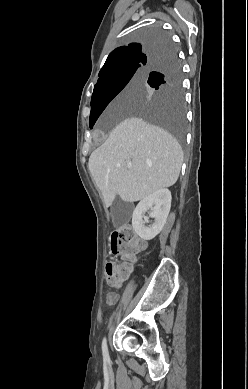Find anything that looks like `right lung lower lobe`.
<instances>
[{"mask_svg": "<svg viewBox=\"0 0 248 389\" xmlns=\"http://www.w3.org/2000/svg\"><path fill=\"white\" fill-rule=\"evenodd\" d=\"M172 48V45L171 44H166L165 46H163L161 48V56L162 57L164 54L168 53L170 51V49ZM163 74L160 73V72H153L151 73V75L149 74V77L151 76L152 78H159L161 77ZM148 77V78H149Z\"/></svg>", "mask_w": 248, "mask_h": 389, "instance_id": "obj_1", "label": "right lung lower lobe"}]
</instances>
